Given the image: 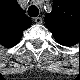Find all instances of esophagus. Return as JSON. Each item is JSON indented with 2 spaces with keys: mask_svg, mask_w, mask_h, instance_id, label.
I'll use <instances>...</instances> for the list:
<instances>
[{
  "mask_svg": "<svg viewBox=\"0 0 80 80\" xmlns=\"http://www.w3.org/2000/svg\"><path fill=\"white\" fill-rule=\"evenodd\" d=\"M34 21L37 23V24H41L43 22L42 18L41 17H36L34 19Z\"/></svg>",
  "mask_w": 80,
  "mask_h": 80,
  "instance_id": "34e87169",
  "label": "esophagus"
}]
</instances>
